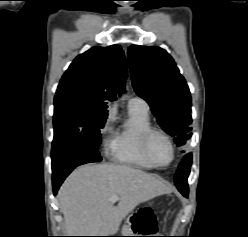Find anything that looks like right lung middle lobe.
<instances>
[{"label": "right lung middle lobe", "instance_id": "dd1d6c3e", "mask_svg": "<svg viewBox=\"0 0 248 237\" xmlns=\"http://www.w3.org/2000/svg\"><path fill=\"white\" fill-rule=\"evenodd\" d=\"M53 146L67 145L70 147L88 146L98 150L107 113L87 109L71 102L54 103Z\"/></svg>", "mask_w": 248, "mask_h": 237}]
</instances>
